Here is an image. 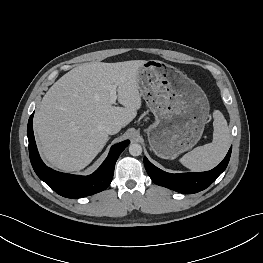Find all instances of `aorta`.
<instances>
[{"label": "aorta", "instance_id": "1", "mask_svg": "<svg viewBox=\"0 0 263 263\" xmlns=\"http://www.w3.org/2000/svg\"><path fill=\"white\" fill-rule=\"evenodd\" d=\"M129 153L132 156H139L142 153V147L140 144L132 143L129 145Z\"/></svg>", "mask_w": 263, "mask_h": 263}]
</instances>
